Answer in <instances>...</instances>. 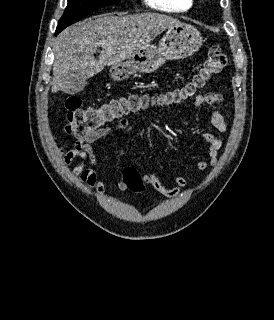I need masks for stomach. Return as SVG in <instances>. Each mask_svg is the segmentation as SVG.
Wrapping results in <instances>:
<instances>
[{
	"mask_svg": "<svg viewBox=\"0 0 274 320\" xmlns=\"http://www.w3.org/2000/svg\"><path fill=\"white\" fill-rule=\"evenodd\" d=\"M202 42L203 38L197 28L190 24H178L167 30L159 46H148L144 50H138V54L129 58L124 64H113L110 70L111 78L121 80L122 76L134 72L152 74L165 64L166 60L190 58L200 50Z\"/></svg>",
	"mask_w": 274,
	"mask_h": 320,
	"instance_id": "stomach-1",
	"label": "stomach"
}]
</instances>
